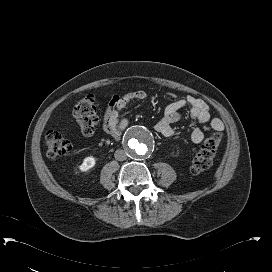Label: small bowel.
I'll list each match as a JSON object with an SVG mask.
<instances>
[{
    "mask_svg": "<svg viewBox=\"0 0 272 272\" xmlns=\"http://www.w3.org/2000/svg\"><path fill=\"white\" fill-rule=\"evenodd\" d=\"M166 96L172 99L173 102L165 108L163 117L155 126L156 131L162 136L169 137L173 134V125L181 120L180 110L185 106L189 107L191 117L202 125V127H195L191 132V141L194 144L203 140L205 131H221L223 129V122L219 118L211 119L209 106L205 100L191 95L178 98L173 93H167ZM146 98L147 93L143 90L113 96L105 111L104 132L108 135H114L117 139L120 138L121 133L118 130L120 111L131 101Z\"/></svg>",
    "mask_w": 272,
    "mask_h": 272,
    "instance_id": "obj_1",
    "label": "small bowel"
}]
</instances>
